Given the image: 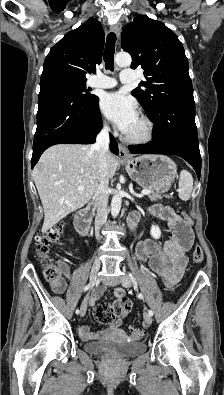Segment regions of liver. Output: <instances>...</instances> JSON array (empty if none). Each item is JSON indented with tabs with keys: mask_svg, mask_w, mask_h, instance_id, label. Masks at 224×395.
Returning a JSON list of instances; mask_svg holds the SVG:
<instances>
[{
	"mask_svg": "<svg viewBox=\"0 0 224 395\" xmlns=\"http://www.w3.org/2000/svg\"><path fill=\"white\" fill-rule=\"evenodd\" d=\"M107 164L109 180L118 167L111 152ZM33 179L44 209L42 232H47L94 195L99 180L98 152L93 145H54L40 157ZM80 186L85 189L79 190Z\"/></svg>",
	"mask_w": 224,
	"mask_h": 395,
	"instance_id": "liver-1",
	"label": "liver"
}]
</instances>
